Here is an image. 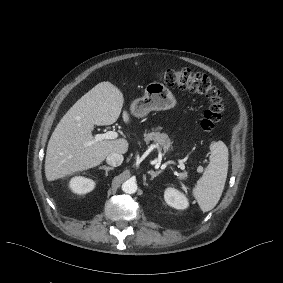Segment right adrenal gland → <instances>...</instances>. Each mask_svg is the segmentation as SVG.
<instances>
[{"mask_svg": "<svg viewBox=\"0 0 283 283\" xmlns=\"http://www.w3.org/2000/svg\"><path fill=\"white\" fill-rule=\"evenodd\" d=\"M99 168L105 169V175H106V176H108V172H109V171L114 170V167H108V166H105V165H104V166H103V165H100Z\"/></svg>", "mask_w": 283, "mask_h": 283, "instance_id": "obj_1", "label": "right adrenal gland"}]
</instances>
